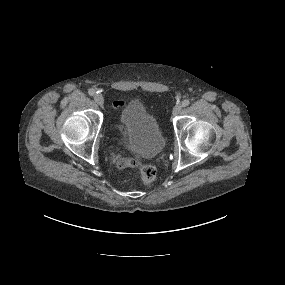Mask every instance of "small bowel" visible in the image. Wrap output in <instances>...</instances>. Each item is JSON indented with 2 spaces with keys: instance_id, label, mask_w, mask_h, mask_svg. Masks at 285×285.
<instances>
[{
  "instance_id": "small-bowel-1",
  "label": "small bowel",
  "mask_w": 285,
  "mask_h": 285,
  "mask_svg": "<svg viewBox=\"0 0 285 285\" xmlns=\"http://www.w3.org/2000/svg\"><path fill=\"white\" fill-rule=\"evenodd\" d=\"M123 105V102L122 101H116L114 102V107H120ZM128 160H121L118 164V167L123 169V168H126V167H129V164L127 163Z\"/></svg>"
}]
</instances>
